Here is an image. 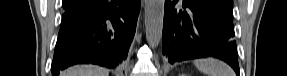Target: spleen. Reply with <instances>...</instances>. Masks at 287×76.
<instances>
[{"label": "spleen", "mask_w": 287, "mask_h": 76, "mask_svg": "<svg viewBox=\"0 0 287 76\" xmlns=\"http://www.w3.org/2000/svg\"><path fill=\"white\" fill-rule=\"evenodd\" d=\"M194 65L208 76H235L229 65L217 59L206 58L197 60L194 62Z\"/></svg>", "instance_id": "1"}]
</instances>
